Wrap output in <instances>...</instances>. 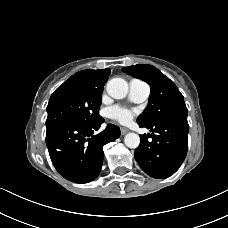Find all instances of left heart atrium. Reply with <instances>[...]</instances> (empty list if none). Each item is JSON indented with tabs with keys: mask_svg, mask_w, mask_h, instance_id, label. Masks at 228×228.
<instances>
[{
	"mask_svg": "<svg viewBox=\"0 0 228 228\" xmlns=\"http://www.w3.org/2000/svg\"><path fill=\"white\" fill-rule=\"evenodd\" d=\"M108 114L112 119L122 124L128 123L133 118V113L130 110L119 106L110 107Z\"/></svg>",
	"mask_w": 228,
	"mask_h": 228,
	"instance_id": "left-heart-atrium-1",
	"label": "left heart atrium"
}]
</instances>
